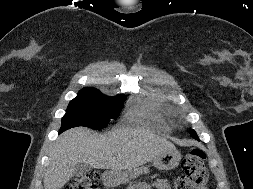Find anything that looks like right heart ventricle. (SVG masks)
<instances>
[{
	"instance_id": "right-heart-ventricle-1",
	"label": "right heart ventricle",
	"mask_w": 253,
	"mask_h": 189,
	"mask_svg": "<svg viewBox=\"0 0 253 189\" xmlns=\"http://www.w3.org/2000/svg\"><path fill=\"white\" fill-rule=\"evenodd\" d=\"M127 117L130 122L139 125H147L151 122L162 121L161 115L156 110L145 105L135 106L128 112Z\"/></svg>"
}]
</instances>
